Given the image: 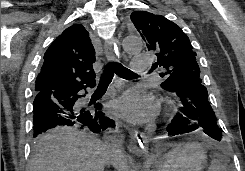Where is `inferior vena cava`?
I'll list each match as a JSON object with an SVG mask.
<instances>
[{
  "mask_svg": "<svg viewBox=\"0 0 245 171\" xmlns=\"http://www.w3.org/2000/svg\"><path fill=\"white\" fill-rule=\"evenodd\" d=\"M114 132L119 133L118 130H115ZM111 142H112L111 147L113 149L114 157L119 158V160H123L124 154H123V151L121 149L122 143H123V136L122 135H114Z\"/></svg>",
  "mask_w": 245,
  "mask_h": 171,
  "instance_id": "602c4592",
  "label": "inferior vena cava"
}]
</instances>
